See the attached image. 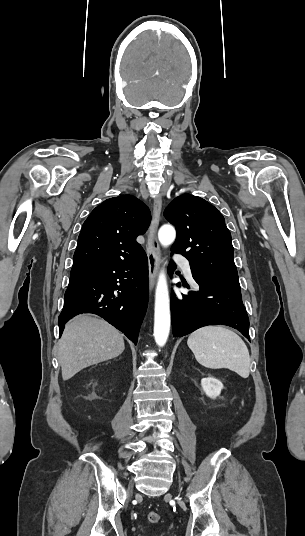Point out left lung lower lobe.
Segmentation results:
<instances>
[{
  "label": "left lung lower lobe",
  "instance_id": "0a47b994",
  "mask_svg": "<svg viewBox=\"0 0 305 536\" xmlns=\"http://www.w3.org/2000/svg\"><path fill=\"white\" fill-rule=\"evenodd\" d=\"M175 267V263L170 261L169 274H172ZM192 276L199 284V291L182 294L180 299H173L172 293L173 336L182 337L203 326L222 324L239 330L250 340L249 318L242 302L238 278L194 272ZM177 286L181 284L177 283Z\"/></svg>",
  "mask_w": 305,
  "mask_h": 536
}]
</instances>
